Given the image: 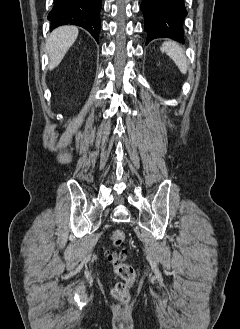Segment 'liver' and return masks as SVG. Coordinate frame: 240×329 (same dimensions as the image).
<instances>
[{
    "label": "liver",
    "instance_id": "1",
    "mask_svg": "<svg viewBox=\"0 0 240 329\" xmlns=\"http://www.w3.org/2000/svg\"><path fill=\"white\" fill-rule=\"evenodd\" d=\"M78 36V28L75 26H62L55 29L46 41V51L49 55L50 70L57 67L66 52L73 45Z\"/></svg>",
    "mask_w": 240,
    "mask_h": 329
}]
</instances>
